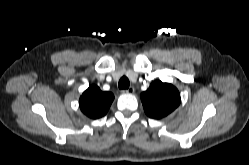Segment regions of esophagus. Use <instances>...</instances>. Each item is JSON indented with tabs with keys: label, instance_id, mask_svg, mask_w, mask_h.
Here are the masks:
<instances>
[{
	"label": "esophagus",
	"instance_id": "34e87169",
	"mask_svg": "<svg viewBox=\"0 0 249 165\" xmlns=\"http://www.w3.org/2000/svg\"><path fill=\"white\" fill-rule=\"evenodd\" d=\"M122 92L126 94H133L135 92V89L134 87H129L128 89L123 90Z\"/></svg>",
	"mask_w": 249,
	"mask_h": 165
}]
</instances>
